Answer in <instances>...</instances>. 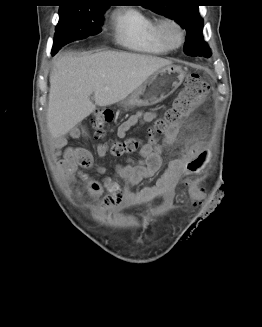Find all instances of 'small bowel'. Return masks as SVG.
I'll use <instances>...</instances> for the list:
<instances>
[{
    "label": "small bowel",
    "mask_w": 262,
    "mask_h": 327,
    "mask_svg": "<svg viewBox=\"0 0 262 327\" xmlns=\"http://www.w3.org/2000/svg\"><path fill=\"white\" fill-rule=\"evenodd\" d=\"M156 118L155 111L137 112L119 126L117 136L125 138L134 127L150 123ZM180 131L181 126L175 125L164 134L163 139L158 135L150 136L140 150L141 159L130 160L124 165H118L115 173L124 181V185H120L108 176L94 177L86 173L85 170L93 164V157L88 150L80 147H67L58 161V169L64 177H72L78 172L79 178L93 197H99L106 191L100 204L106 210L130 208L147 204L158 198L170 197L175 193L186 173H195L187 172L186 166L202 164L198 159L199 145L192 139L185 140L181 156L169 162L154 185L143 187L138 191H133L131 187L138 185L144 179L153 177L159 171L162 166L163 154L176 143ZM80 134L89 138V133L84 127L72 130L68 137H76ZM66 139L67 137H64L61 140V145H64ZM96 150L100 158L106 156L107 148L103 143H98ZM58 153L61 154V151ZM98 171L103 173L104 168L99 167ZM187 192L191 199V206L206 205L207 188H188Z\"/></svg>",
    "instance_id": "small-bowel-1"
}]
</instances>
